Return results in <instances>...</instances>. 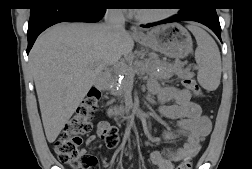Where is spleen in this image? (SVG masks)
<instances>
[{
    "label": "spleen",
    "mask_w": 252,
    "mask_h": 169,
    "mask_svg": "<svg viewBox=\"0 0 252 169\" xmlns=\"http://www.w3.org/2000/svg\"><path fill=\"white\" fill-rule=\"evenodd\" d=\"M197 41L195 60L198 64L197 80L208 91H214L220 85L221 56L213 38L195 24L188 26Z\"/></svg>",
    "instance_id": "3e777b00"
}]
</instances>
